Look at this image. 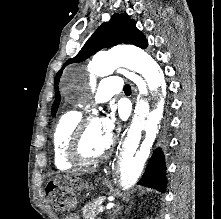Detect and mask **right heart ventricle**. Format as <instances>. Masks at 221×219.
<instances>
[{
  "mask_svg": "<svg viewBox=\"0 0 221 219\" xmlns=\"http://www.w3.org/2000/svg\"><path fill=\"white\" fill-rule=\"evenodd\" d=\"M82 115L79 111L63 113L54 126L52 134V151L54 165L58 170H67L73 166L66 156L68 142L81 122Z\"/></svg>",
  "mask_w": 221,
  "mask_h": 219,
  "instance_id": "e07e8e85",
  "label": "right heart ventricle"
}]
</instances>
